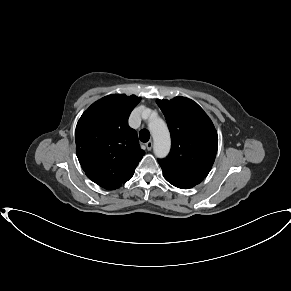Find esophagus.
I'll return each mask as SVG.
<instances>
[{"mask_svg":"<svg viewBox=\"0 0 291 291\" xmlns=\"http://www.w3.org/2000/svg\"><path fill=\"white\" fill-rule=\"evenodd\" d=\"M145 145H146L147 150H151L152 146H153V142L152 141H148Z\"/></svg>","mask_w":291,"mask_h":291,"instance_id":"34e87169","label":"esophagus"}]
</instances>
